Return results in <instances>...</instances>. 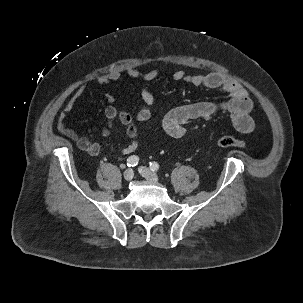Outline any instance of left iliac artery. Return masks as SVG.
<instances>
[{
  "instance_id": "obj_1",
  "label": "left iliac artery",
  "mask_w": 303,
  "mask_h": 303,
  "mask_svg": "<svg viewBox=\"0 0 303 303\" xmlns=\"http://www.w3.org/2000/svg\"><path fill=\"white\" fill-rule=\"evenodd\" d=\"M150 169L152 171H158L159 170V164L157 162H150Z\"/></svg>"
}]
</instances>
